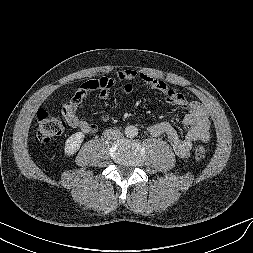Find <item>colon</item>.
<instances>
[{
    "label": "colon",
    "mask_w": 253,
    "mask_h": 253,
    "mask_svg": "<svg viewBox=\"0 0 253 253\" xmlns=\"http://www.w3.org/2000/svg\"><path fill=\"white\" fill-rule=\"evenodd\" d=\"M37 138L41 143H47L54 138L61 136L66 130V122L59 116L51 114L46 109L37 112ZM206 155V150L198 146L194 151V158L202 160Z\"/></svg>",
    "instance_id": "obj_1"
}]
</instances>
